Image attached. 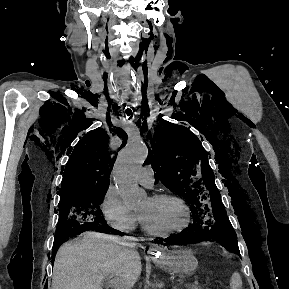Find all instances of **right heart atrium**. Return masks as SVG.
I'll return each mask as SVG.
<instances>
[{"instance_id":"right-heart-atrium-1","label":"right heart atrium","mask_w":289,"mask_h":289,"mask_svg":"<svg viewBox=\"0 0 289 289\" xmlns=\"http://www.w3.org/2000/svg\"><path fill=\"white\" fill-rule=\"evenodd\" d=\"M101 211L106 223L120 232L130 233L136 229L138 215L129 209L120 195L109 188L102 202Z\"/></svg>"}]
</instances>
